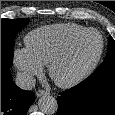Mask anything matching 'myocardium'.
<instances>
[{
	"label": "myocardium",
	"mask_w": 115,
	"mask_h": 115,
	"mask_svg": "<svg viewBox=\"0 0 115 115\" xmlns=\"http://www.w3.org/2000/svg\"><path fill=\"white\" fill-rule=\"evenodd\" d=\"M90 33L97 34L100 39V47L95 58L76 74L65 78L59 77L57 75V69L69 58L70 54L72 53L78 41H80L83 37H85ZM103 52H104V39L102 34L96 29L88 28L72 37L66 43V45L50 60V62L48 63L49 76L52 79V81L59 87L71 88L81 83L83 80H85L88 76L92 74V72L96 69L98 63L100 62Z\"/></svg>",
	"instance_id": "f54148a6"
}]
</instances>
